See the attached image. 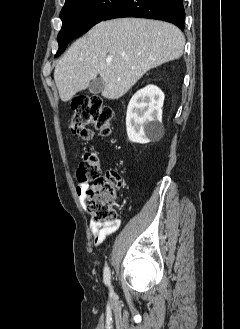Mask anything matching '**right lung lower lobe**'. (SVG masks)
Listing matches in <instances>:
<instances>
[{
	"instance_id": "obj_1",
	"label": "right lung lower lobe",
	"mask_w": 240,
	"mask_h": 329,
	"mask_svg": "<svg viewBox=\"0 0 240 329\" xmlns=\"http://www.w3.org/2000/svg\"><path fill=\"white\" fill-rule=\"evenodd\" d=\"M122 17L163 20L183 30L185 10L183 0H122L103 20Z\"/></svg>"
}]
</instances>
